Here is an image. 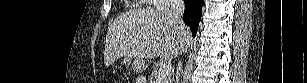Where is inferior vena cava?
I'll return each mask as SVG.
<instances>
[{"mask_svg": "<svg viewBox=\"0 0 307 83\" xmlns=\"http://www.w3.org/2000/svg\"><path fill=\"white\" fill-rule=\"evenodd\" d=\"M185 5L183 0H171V14L178 22L181 30L185 27L183 22V13H184ZM182 69V61L178 64V70Z\"/></svg>", "mask_w": 307, "mask_h": 83, "instance_id": "inferior-vena-cava-1", "label": "inferior vena cava"}]
</instances>
